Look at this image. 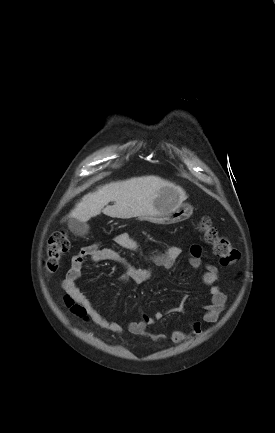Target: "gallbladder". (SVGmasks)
<instances>
[{"label": "gallbladder", "instance_id": "1", "mask_svg": "<svg viewBox=\"0 0 275 433\" xmlns=\"http://www.w3.org/2000/svg\"><path fill=\"white\" fill-rule=\"evenodd\" d=\"M68 227L74 234L79 236H83L89 231L88 224L77 219H70L68 222Z\"/></svg>", "mask_w": 275, "mask_h": 433}]
</instances>
